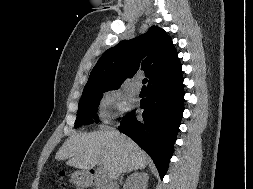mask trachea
I'll use <instances>...</instances> for the list:
<instances>
[{
	"mask_svg": "<svg viewBox=\"0 0 253 189\" xmlns=\"http://www.w3.org/2000/svg\"><path fill=\"white\" fill-rule=\"evenodd\" d=\"M142 83H143V85H144L143 87H146L145 84L147 83V79H146V78L143 79V80H142Z\"/></svg>",
	"mask_w": 253,
	"mask_h": 189,
	"instance_id": "trachea-1",
	"label": "trachea"
}]
</instances>
